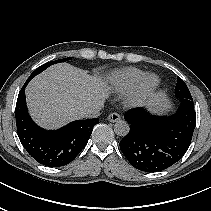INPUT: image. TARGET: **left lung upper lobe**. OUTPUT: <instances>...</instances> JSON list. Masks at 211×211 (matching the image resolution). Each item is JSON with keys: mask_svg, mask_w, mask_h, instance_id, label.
I'll return each mask as SVG.
<instances>
[{"mask_svg": "<svg viewBox=\"0 0 211 211\" xmlns=\"http://www.w3.org/2000/svg\"><path fill=\"white\" fill-rule=\"evenodd\" d=\"M175 97L179 99L181 102H191L193 103L192 96L185 82L178 77L177 84L175 87Z\"/></svg>", "mask_w": 211, "mask_h": 211, "instance_id": "1", "label": "left lung upper lobe"}]
</instances>
